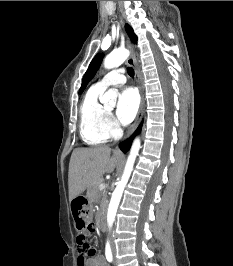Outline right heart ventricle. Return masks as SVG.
Returning a JSON list of instances; mask_svg holds the SVG:
<instances>
[{
	"label": "right heart ventricle",
	"mask_w": 233,
	"mask_h": 266,
	"mask_svg": "<svg viewBox=\"0 0 233 266\" xmlns=\"http://www.w3.org/2000/svg\"><path fill=\"white\" fill-rule=\"evenodd\" d=\"M104 89L91 86L86 92L80 106V135L88 145H100L107 141L109 135L105 129L107 110L99 102Z\"/></svg>",
	"instance_id": "1"
}]
</instances>
